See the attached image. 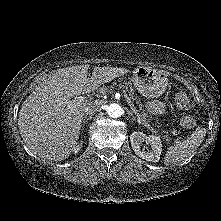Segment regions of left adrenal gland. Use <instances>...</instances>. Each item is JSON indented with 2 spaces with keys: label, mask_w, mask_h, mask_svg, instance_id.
<instances>
[{
  "label": "left adrenal gland",
  "mask_w": 221,
  "mask_h": 221,
  "mask_svg": "<svg viewBox=\"0 0 221 221\" xmlns=\"http://www.w3.org/2000/svg\"><path fill=\"white\" fill-rule=\"evenodd\" d=\"M128 114L131 115V116H133V112H132V111H128ZM133 117H134V116H133ZM134 119H135V117H134Z\"/></svg>",
  "instance_id": "1"
}]
</instances>
